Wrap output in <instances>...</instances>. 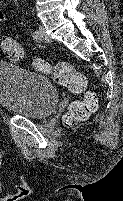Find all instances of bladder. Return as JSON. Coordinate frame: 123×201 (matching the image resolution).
Instances as JSON below:
<instances>
[{"instance_id": "1", "label": "bladder", "mask_w": 123, "mask_h": 201, "mask_svg": "<svg viewBox=\"0 0 123 201\" xmlns=\"http://www.w3.org/2000/svg\"><path fill=\"white\" fill-rule=\"evenodd\" d=\"M58 101V90L45 76L0 62V105L6 111L42 120L54 112Z\"/></svg>"}]
</instances>
